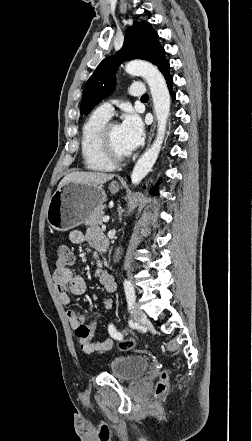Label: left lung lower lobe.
I'll list each match as a JSON object with an SVG mask.
<instances>
[{
  "instance_id": "obj_1",
  "label": "left lung lower lobe",
  "mask_w": 252,
  "mask_h": 441,
  "mask_svg": "<svg viewBox=\"0 0 252 441\" xmlns=\"http://www.w3.org/2000/svg\"><path fill=\"white\" fill-rule=\"evenodd\" d=\"M156 66L159 68V70L162 72L163 76L165 77V80H166L167 86L170 90L172 99L175 100V93L172 91L173 78L169 74L170 65H169V62L165 58V51L160 55ZM151 193L154 195H157L158 194L157 189L153 188L151 190Z\"/></svg>"
}]
</instances>
